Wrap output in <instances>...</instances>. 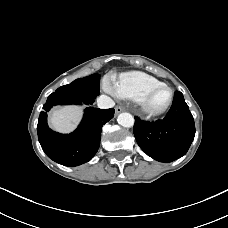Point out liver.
<instances>
[{
	"label": "liver",
	"instance_id": "obj_1",
	"mask_svg": "<svg viewBox=\"0 0 228 228\" xmlns=\"http://www.w3.org/2000/svg\"><path fill=\"white\" fill-rule=\"evenodd\" d=\"M82 109L79 106H66L54 110L49 119L52 128L61 133L73 131L82 117Z\"/></svg>",
	"mask_w": 228,
	"mask_h": 228
}]
</instances>
